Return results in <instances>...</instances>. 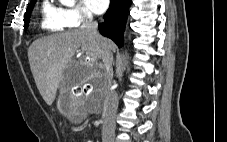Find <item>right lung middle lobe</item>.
<instances>
[{"mask_svg": "<svg viewBox=\"0 0 227 142\" xmlns=\"http://www.w3.org/2000/svg\"><path fill=\"white\" fill-rule=\"evenodd\" d=\"M35 2H36V0L32 3H30V5L28 6L27 11L25 13V16H24L25 28H27V26H28L30 14H31V11L33 9Z\"/></svg>", "mask_w": 227, "mask_h": 142, "instance_id": "dd1d6c3e", "label": "right lung middle lobe"}]
</instances>
